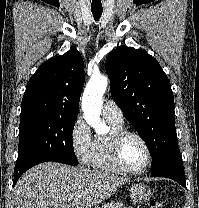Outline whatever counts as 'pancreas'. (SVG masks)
Segmentation results:
<instances>
[{"mask_svg": "<svg viewBox=\"0 0 199 208\" xmlns=\"http://www.w3.org/2000/svg\"><path fill=\"white\" fill-rule=\"evenodd\" d=\"M96 208H123V204L111 202L102 205V207H96Z\"/></svg>", "mask_w": 199, "mask_h": 208, "instance_id": "obj_1", "label": "pancreas"}]
</instances>
